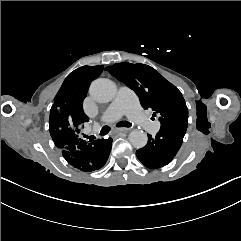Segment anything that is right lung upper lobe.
Masks as SVG:
<instances>
[{
	"label": "right lung upper lobe",
	"mask_w": 241,
	"mask_h": 241,
	"mask_svg": "<svg viewBox=\"0 0 241 241\" xmlns=\"http://www.w3.org/2000/svg\"><path fill=\"white\" fill-rule=\"evenodd\" d=\"M95 67L101 74L103 66ZM89 86L90 82L78 80L71 72L54 98V104L50 110L49 131L60 150L83 140L79 133L81 126L89 121L83 111V101Z\"/></svg>",
	"instance_id": "obj_1"
}]
</instances>
